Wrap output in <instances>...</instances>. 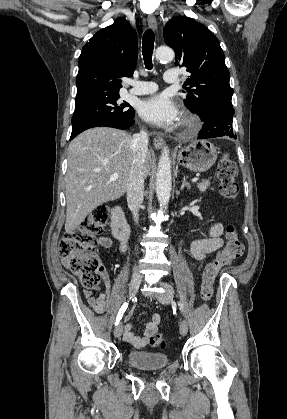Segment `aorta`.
Listing matches in <instances>:
<instances>
[{
    "label": "aorta",
    "mask_w": 287,
    "mask_h": 419,
    "mask_svg": "<svg viewBox=\"0 0 287 419\" xmlns=\"http://www.w3.org/2000/svg\"><path fill=\"white\" fill-rule=\"evenodd\" d=\"M155 57L160 61H171L174 58V51L169 47H158ZM172 176L171 160L169 149L165 147L161 153L156 174V195L160 207L167 208L171 196Z\"/></svg>",
    "instance_id": "762f6f07"
}]
</instances>
